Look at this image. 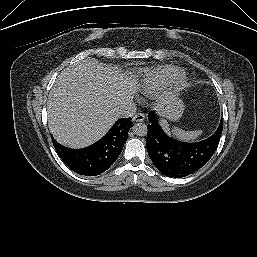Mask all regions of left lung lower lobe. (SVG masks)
Returning a JSON list of instances; mask_svg holds the SVG:
<instances>
[{
    "instance_id": "obj_1",
    "label": "left lung lower lobe",
    "mask_w": 257,
    "mask_h": 257,
    "mask_svg": "<svg viewBox=\"0 0 257 257\" xmlns=\"http://www.w3.org/2000/svg\"><path fill=\"white\" fill-rule=\"evenodd\" d=\"M147 151L164 175L171 178L188 176L204 166L213 156L222 134L223 121L208 138L199 142H182L167 135L159 125L155 111L148 114Z\"/></svg>"
}]
</instances>
